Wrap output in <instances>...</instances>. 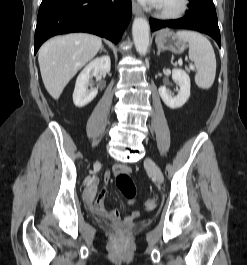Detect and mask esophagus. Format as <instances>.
<instances>
[{"mask_svg": "<svg viewBox=\"0 0 247 265\" xmlns=\"http://www.w3.org/2000/svg\"><path fill=\"white\" fill-rule=\"evenodd\" d=\"M132 10L135 15H140L142 13L141 7L135 0L132 1Z\"/></svg>", "mask_w": 247, "mask_h": 265, "instance_id": "obj_1", "label": "esophagus"}]
</instances>
